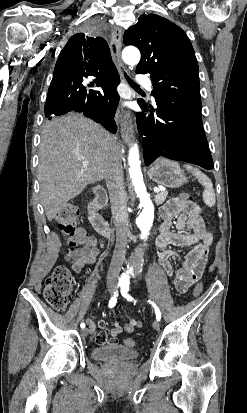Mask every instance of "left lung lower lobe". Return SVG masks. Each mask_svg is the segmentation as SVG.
<instances>
[{
	"label": "left lung lower lobe",
	"mask_w": 247,
	"mask_h": 413,
	"mask_svg": "<svg viewBox=\"0 0 247 413\" xmlns=\"http://www.w3.org/2000/svg\"><path fill=\"white\" fill-rule=\"evenodd\" d=\"M138 103L144 111L151 112V115L138 112L136 117L139 133L144 136L142 146L146 165L158 157H166L205 169L214 168L201 110L172 101H156V110L143 100Z\"/></svg>",
	"instance_id": "1"
}]
</instances>
